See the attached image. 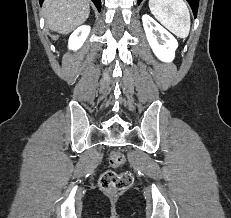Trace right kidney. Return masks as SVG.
<instances>
[{"label":"right kidney","mask_w":231,"mask_h":218,"mask_svg":"<svg viewBox=\"0 0 231 218\" xmlns=\"http://www.w3.org/2000/svg\"><path fill=\"white\" fill-rule=\"evenodd\" d=\"M90 33V26L83 25L78 27L70 36L68 41L69 49L78 50L81 48Z\"/></svg>","instance_id":"obj_1"}]
</instances>
